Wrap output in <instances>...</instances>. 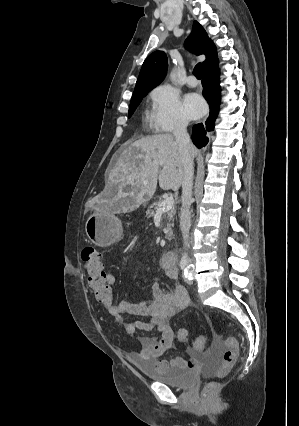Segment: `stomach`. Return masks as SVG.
Listing matches in <instances>:
<instances>
[{
  "label": "stomach",
  "instance_id": "stomach-1",
  "mask_svg": "<svg viewBox=\"0 0 299 426\" xmlns=\"http://www.w3.org/2000/svg\"><path fill=\"white\" fill-rule=\"evenodd\" d=\"M85 231L91 242L107 247L121 240L123 226L121 220L112 212L98 210L86 221Z\"/></svg>",
  "mask_w": 299,
  "mask_h": 426
}]
</instances>
